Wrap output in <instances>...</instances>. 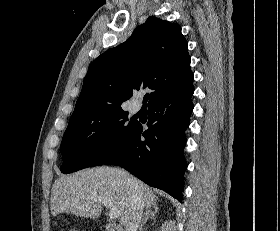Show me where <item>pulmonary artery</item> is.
<instances>
[{"label": "pulmonary artery", "mask_w": 280, "mask_h": 231, "mask_svg": "<svg viewBox=\"0 0 280 231\" xmlns=\"http://www.w3.org/2000/svg\"><path fill=\"white\" fill-rule=\"evenodd\" d=\"M139 109H140V105H139V104H136V103L132 104V106H131V111H132L133 113L138 112Z\"/></svg>", "instance_id": "obj_1"}]
</instances>
